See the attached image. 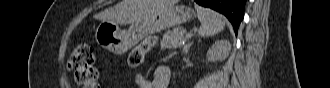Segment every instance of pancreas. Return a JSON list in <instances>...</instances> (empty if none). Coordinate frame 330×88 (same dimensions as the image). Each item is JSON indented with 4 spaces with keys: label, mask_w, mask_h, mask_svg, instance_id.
<instances>
[{
    "label": "pancreas",
    "mask_w": 330,
    "mask_h": 88,
    "mask_svg": "<svg viewBox=\"0 0 330 88\" xmlns=\"http://www.w3.org/2000/svg\"><path fill=\"white\" fill-rule=\"evenodd\" d=\"M186 31L183 28H176L172 31L168 30L163 34L161 40V49L182 47V42L186 41Z\"/></svg>",
    "instance_id": "1"
}]
</instances>
